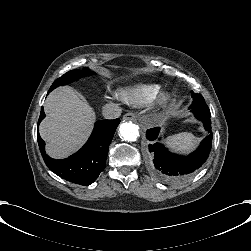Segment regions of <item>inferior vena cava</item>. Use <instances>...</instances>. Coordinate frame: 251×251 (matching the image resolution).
<instances>
[{
  "label": "inferior vena cava",
  "instance_id": "1",
  "mask_svg": "<svg viewBox=\"0 0 251 251\" xmlns=\"http://www.w3.org/2000/svg\"><path fill=\"white\" fill-rule=\"evenodd\" d=\"M122 109L114 103H108L103 106L102 114L105 119H115L120 117Z\"/></svg>",
  "mask_w": 251,
  "mask_h": 251
}]
</instances>
